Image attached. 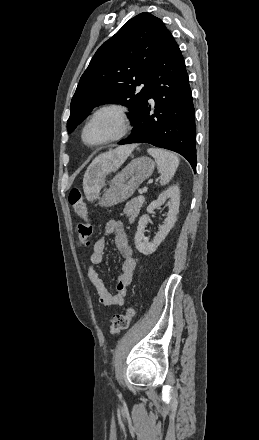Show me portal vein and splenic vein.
Wrapping results in <instances>:
<instances>
[{"mask_svg":"<svg viewBox=\"0 0 259 440\" xmlns=\"http://www.w3.org/2000/svg\"><path fill=\"white\" fill-rule=\"evenodd\" d=\"M138 200L141 201V202H143V201H144V196H143V195H140V196L138 197Z\"/></svg>","mask_w":259,"mask_h":440,"instance_id":"18ae733b","label":"portal vein and splenic vein"}]
</instances>
